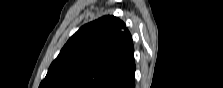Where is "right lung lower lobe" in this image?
<instances>
[{
  "label": "right lung lower lobe",
  "mask_w": 223,
  "mask_h": 88,
  "mask_svg": "<svg viewBox=\"0 0 223 88\" xmlns=\"http://www.w3.org/2000/svg\"><path fill=\"white\" fill-rule=\"evenodd\" d=\"M135 87V78H133L132 82H131V88Z\"/></svg>",
  "instance_id": "1"
}]
</instances>
